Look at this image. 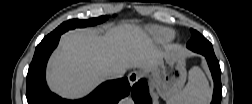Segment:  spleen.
Returning <instances> with one entry per match:
<instances>
[{
    "label": "spleen",
    "mask_w": 252,
    "mask_h": 104,
    "mask_svg": "<svg viewBox=\"0 0 252 104\" xmlns=\"http://www.w3.org/2000/svg\"><path fill=\"white\" fill-rule=\"evenodd\" d=\"M211 90L208 81L198 67L189 71V80L185 88L173 100L176 104H204L210 100Z\"/></svg>",
    "instance_id": "spleen-1"
}]
</instances>
